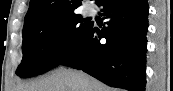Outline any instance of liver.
Segmentation results:
<instances>
[{"label":"liver","instance_id":"liver-1","mask_svg":"<svg viewBox=\"0 0 173 91\" xmlns=\"http://www.w3.org/2000/svg\"><path fill=\"white\" fill-rule=\"evenodd\" d=\"M16 91H116L88 74L73 69L59 68L50 75L26 84Z\"/></svg>","mask_w":173,"mask_h":91}]
</instances>
